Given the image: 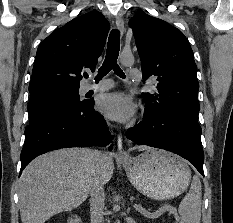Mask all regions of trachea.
<instances>
[{
  "label": "trachea",
  "mask_w": 233,
  "mask_h": 223,
  "mask_svg": "<svg viewBox=\"0 0 233 223\" xmlns=\"http://www.w3.org/2000/svg\"><path fill=\"white\" fill-rule=\"evenodd\" d=\"M120 49V32L117 29H113L109 35L108 45L105 60L98 70V74L95 81L101 80L110 70H114L115 74L119 77L125 78L123 71L117 64V58ZM86 78L88 75L85 76Z\"/></svg>",
  "instance_id": "1"
}]
</instances>
